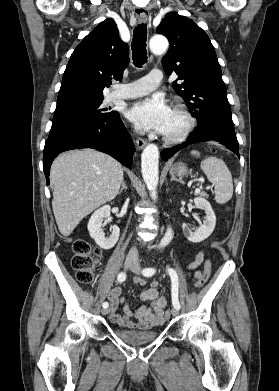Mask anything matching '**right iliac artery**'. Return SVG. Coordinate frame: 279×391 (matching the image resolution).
Returning a JSON list of instances; mask_svg holds the SVG:
<instances>
[{
    "instance_id": "1",
    "label": "right iliac artery",
    "mask_w": 279,
    "mask_h": 391,
    "mask_svg": "<svg viewBox=\"0 0 279 391\" xmlns=\"http://www.w3.org/2000/svg\"><path fill=\"white\" fill-rule=\"evenodd\" d=\"M125 279H126V273H125V272H120V273L118 274L117 280H118L119 282H123V281H125ZM108 306H109V303H108V302H104V303H103V308H107Z\"/></svg>"
}]
</instances>
